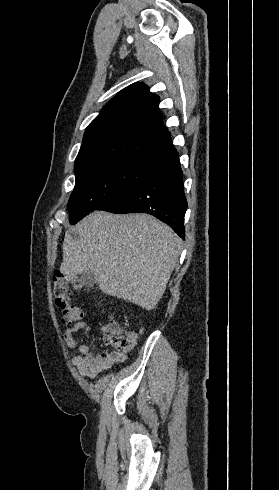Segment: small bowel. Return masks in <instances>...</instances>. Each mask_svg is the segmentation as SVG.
Returning a JSON list of instances; mask_svg holds the SVG:
<instances>
[{"mask_svg": "<svg viewBox=\"0 0 279 490\" xmlns=\"http://www.w3.org/2000/svg\"><path fill=\"white\" fill-rule=\"evenodd\" d=\"M90 325L86 322H79L67 328L63 334L64 341L70 348L77 346L76 335L79 332H89ZM127 355L124 352L112 351L93 353L89 346L81 344L77 346V353L72 356V363L83 377L94 379L99 373L110 369L115 364L124 362Z\"/></svg>", "mask_w": 279, "mask_h": 490, "instance_id": "obj_1", "label": "small bowel"}]
</instances>
